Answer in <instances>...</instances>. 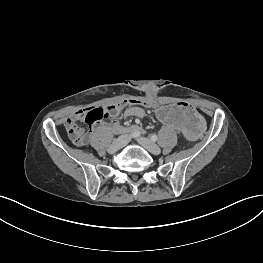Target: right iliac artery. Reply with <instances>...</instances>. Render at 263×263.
Wrapping results in <instances>:
<instances>
[{
    "label": "right iliac artery",
    "instance_id": "82829eb1",
    "mask_svg": "<svg viewBox=\"0 0 263 263\" xmlns=\"http://www.w3.org/2000/svg\"><path fill=\"white\" fill-rule=\"evenodd\" d=\"M140 131L138 130V129H134V130H132V131H130V135L132 136V137H139L140 136Z\"/></svg>",
    "mask_w": 263,
    "mask_h": 263
}]
</instances>
